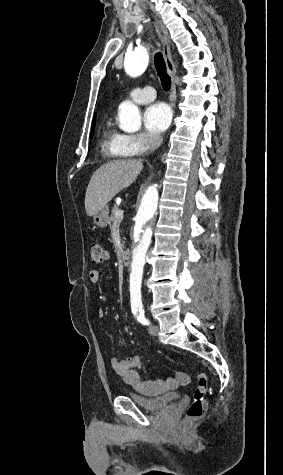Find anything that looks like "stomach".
I'll list each match as a JSON object with an SVG mask.
<instances>
[{"instance_id": "1", "label": "stomach", "mask_w": 283, "mask_h": 475, "mask_svg": "<svg viewBox=\"0 0 283 475\" xmlns=\"http://www.w3.org/2000/svg\"><path fill=\"white\" fill-rule=\"evenodd\" d=\"M108 218H109L108 206H104V208H101V210H99L98 214H94L93 216V220L96 226H100V228H105V226H107Z\"/></svg>"}]
</instances>
